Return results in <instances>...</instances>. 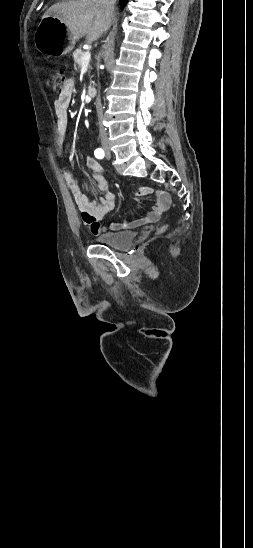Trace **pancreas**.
<instances>
[{"mask_svg": "<svg viewBox=\"0 0 253 548\" xmlns=\"http://www.w3.org/2000/svg\"><path fill=\"white\" fill-rule=\"evenodd\" d=\"M85 54L81 49H77L73 52V58L78 67L82 66V57Z\"/></svg>", "mask_w": 253, "mask_h": 548, "instance_id": "1", "label": "pancreas"}]
</instances>
